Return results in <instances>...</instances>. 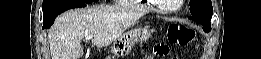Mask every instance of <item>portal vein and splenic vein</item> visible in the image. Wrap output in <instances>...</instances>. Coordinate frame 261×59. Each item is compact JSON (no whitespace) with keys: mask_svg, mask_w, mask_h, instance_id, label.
<instances>
[{"mask_svg":"<svg viewBox=\"0 0 261 59\" xmlns=\"http://www.w3.org/2000/svg\"><path fill=\"white\" fill-rule=\"evenodd\" d=\"M85 39H86V40H90V39H91V36H90V35H87V36L85 37Z\"/></svg>","mask_w":261,"mask_h":59,"instance_id":"18ae733b","label":"portal vein and splenic vein"}]
</instances>
